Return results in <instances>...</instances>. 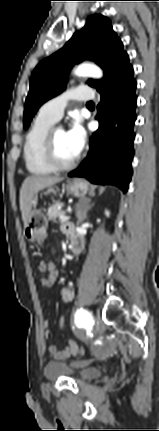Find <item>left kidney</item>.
I'll return each mask as SVG.
<instances>
[{
  "instance_id": "left-kidney-1",
  "label": "left kidney",
  "mask_w": 159,
  "mask_h": 431,
  "mask_svg": "<svg viewBox=\"0 0 159 431\" xmlns=\"http://www.w3.org/2000/svg\"><path fill=\"white\" fill-rule=\"evenodd\" d=\"M106 215L109 216V212L108 211H106Z\"/></svg>"
}]
</instances>
